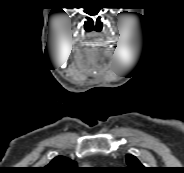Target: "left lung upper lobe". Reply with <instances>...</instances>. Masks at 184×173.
Instances as JSON below:
<instances>
[{
	"mask_svg": "<svg viewBox=\"0 0 184 173\" xmlns=\"http://www.w3.org/2000/svg\"><path fill=\"white\" fill-rule=\"evenodd\" d=\"M126 162L128 164V167L125 168L128 173H144L145 167L139 162V160L131 155H126Z\"/></svg>",
	"mask_w": 184,
	"mask_h": 173,
	"instance_id": "1",
	"label": "left lung upper lobe"
}]
</instances>
